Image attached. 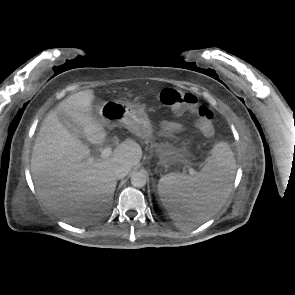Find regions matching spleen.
Wrapping results in <instances>:
<instances>
[{
  "mask_svg": "<svg viewBox=\"0 0 295 295\" xmlns=\"http://www.w3.org/2000/svg\"><path fill=\"white\" fill-rule=\"evenodd\" d=\"M211 159L195 176L169 173L160 178L158 193L176 225L191 228L218 209L228 197L235 175L233 152L225 142L211 150Z\"/></svg>",
  "mask_w": 295,
  "mask_h": 295,
  "instance_id": "3e777b00",
  "label": "spleen"
}]
</instances>
